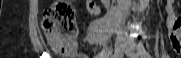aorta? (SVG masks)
Masks as SVG:
<instances>
[{
  "mask_svg": "<svg viewBox=\"0 0 181 58\" xmlns=\"http://www.w3.org/2000/svg\"><path fill=\"white\" fill-rule=\"evenodd\" d=\"M149 0H140V5L144 9L148 6Z\"/></svg>",
  "mask_w": 181,
  "mask_h": 58,
  "instance_id": "762f6f07",
  "label": "aorta"
}]
</instances>
